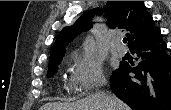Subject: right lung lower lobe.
<instances>
[{
  "label": "right lung lower lobe",
  "mask_w": 171,
  "mask_h": 110,
  "mask_svg": "<svg viewBox=\"0 0 171 110\" xmlns=\"http://www.w3.org/2000/svg\"><path fill=\"white\" fill-rule=\"evenodd\" d=\"M130 51L137 65L120 64V73L111 77L112 91L133 110H171V58L161 33Z\"/></svg>",
  "instance_id": "right-lung-lower-lobe-1"
}]
</instances>
